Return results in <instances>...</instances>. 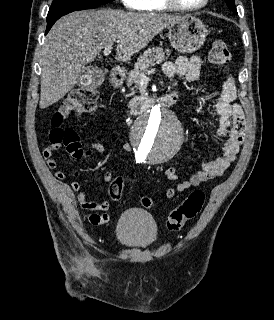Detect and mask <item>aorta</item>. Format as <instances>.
<instances>
[{
	"label": "aorta",
	"mask_w": 274,
	"mask_h": 320,
	"mask_svg": "<svg viewBox=\"0 0 274 320\" xmlns=\"http://www.w3.org/2000/svg\"><path fill=\"white\" fill-rule=\"evenodd\" d=\"M183 129L175 115L156 105L139 119L132 130V141L141 159L162 163L173 158L182 145Z\"/></svg>",
	"instance_id": "aorta-1"
}]
</instances>
